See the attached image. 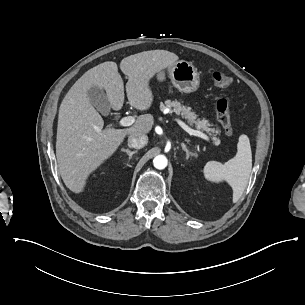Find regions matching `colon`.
Masks as SVG:
<instances>
[{
  "label": "colon",
  "instance_id": "1",
  "mask_svg": "<svg viewBox=\"0 0 305 305\" xmlns=\"http://www.w3.org/2000/svg\"><path fill=\"white\" fill-rule=\"evenodd\" d=\"M214 85L218 88H228L232 79L230 75L223 70H215L212 74ZM217 120L224 132L228 136H234V129L231 122V105L226 99H219L215 104Z\"/></svg>",
  "mask_w": 305,
  "mask_h": 305
}]
</instances>
